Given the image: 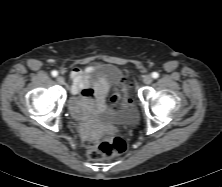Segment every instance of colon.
Wrapping results in <instances>:
<instances>
[{
  "label": "colon",
  "instance_id": "5ec220e1",
  "mask_svg": "<svg viewBox=\"0 0 222 187\" xmlns=\"http://www.w3.org/2000/svg\"><path fill=\"white\" fill-rule=\"evenodd\" d=\"M120 100L118 94L111 96V102L116 105ZM126 140L121 136L95 135L89 140L85 149V155L91 160H104L125 152Z\"/></svg>",
  "mask_w": 222,
  "mask_h": 187
}]
</instances>
